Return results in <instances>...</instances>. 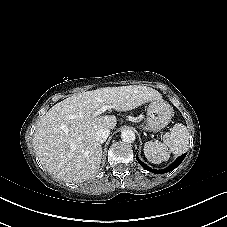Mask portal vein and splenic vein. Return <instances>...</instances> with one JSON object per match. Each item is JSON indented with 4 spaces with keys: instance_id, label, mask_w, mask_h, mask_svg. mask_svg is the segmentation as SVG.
<instances>
[{
    "instance_id": "1",
    "label": "portal vein and splenic vein",
    "mask_w": 227,
    "mask_h": 227,
    "mask_svg": "<svg viewBox=\"0 0 227 227\" xmlns=\"http://www.w3.org/2000/svg\"><path fill=\"white\" fill-rule=\"evenodd\" d=\"M107 109H108V106H106V105L102 106L100 109H98L97 111H95V112L93 113V117H96V116L102 114V113L105 112Z\"/></svg>"
}]
</instances>
